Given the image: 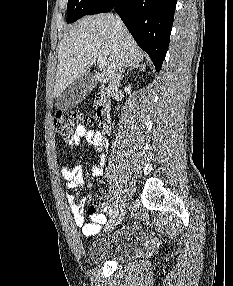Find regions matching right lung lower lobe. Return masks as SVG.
Wrapping results in <instances>:
<instances>
[{
  "label": "right lung lower lobe",
  "instance_id": "1",
  "mask_svg": "<svg viewBox=\"0 0 233 286\" xmlns=\"http://www.w3.org/2000/svg\"><path fill=\"white\" fill-rule=\"evenodd\" d=\"M175 7L176 0H100L88 15L114 9L158 72L168 49Z\"/></svg>",
  "mask_w": 233,
  "mask_h": 286
}]
</instances>
